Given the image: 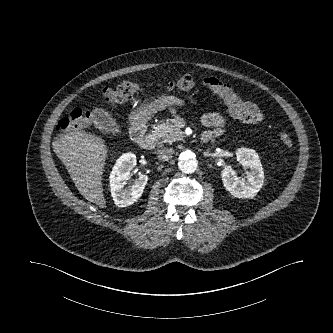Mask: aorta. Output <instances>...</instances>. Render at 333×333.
Segmentation results:
<instances>
[{
	"mask_svg": "<svg viewBox=\"0 0 333 333\" xmlns=\"http://www.w3.org/2000/svg\"><path fill=\"white\" fill-rule=\"evenodd\" d=\"M178 167L183 173H193L198 168L195 154L190 150L182 151L178 159Z\"/></svg>",
	"mask_w": 333,
	"mask_h": 333,
	"instance_id": "aorta-1",
	"label": "aorta"
}]
</instances>
